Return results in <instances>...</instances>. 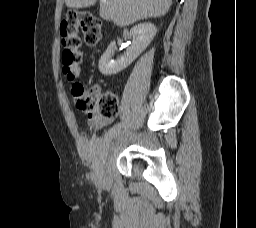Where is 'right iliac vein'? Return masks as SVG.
Segmentation results:
<instances>
[{"label": "right iliac vein", "mask_w": 256, "mask_h": 228, "mask_svg": "<svg viewBox=\"0 0 256 228\" xmlns=\"http://www.w3.org/2000/svg\"><path fill=\"white\" fill-rule=\"evenodd\" d=\"M122 130H125V127H122ZM122 130H121V129H116L115 132H114L113 138H114V139H117L118 136L121 135Z\"/></svg>", "instance_id": "63e3f726"}]
</instances>
